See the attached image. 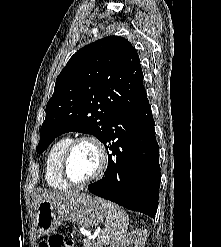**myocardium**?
<instances>
[{
	"instance_id": "f54148a6",
	"label": "myocardium",
	"mask_w": 221,
	"mask_h": 247,
	"mask_svg": "<svg viewBox=\"0 0 221 247\" xmlns=\"http://www.w3.org/2000/svg\"><path fill=\"white\" fill-rule=\"evenodd\" d=\"M81 143L91 144L98 154V167L94 174L82 182L73 181L68 174V162L75 147ZM109 164V153L106 145L95 135L84 133L71 140L67 146L60 164V174L66 183L75 187L88 185L99 179L106 171Z\"/></svg>"
}]
</instances>
